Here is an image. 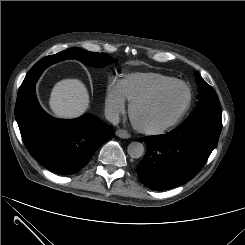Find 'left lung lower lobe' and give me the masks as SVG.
Instances as JSON below:
<instances>
[{"instance_id":"0a47b994","label":"left lung lower lobe","mask_w":245,"mask_h":245,"mask_svg":"<svg viewBox=\"0 0 245 245\" xmlns=\"http://www.w3.org/2000/svg\"><path fill=\"white\" fill-rule=\"evenodd\" d=\"M221 128L180 125L168 134L143 138L147 151L137 167L141 182L153 190L184 184L201 170L216 147Z\"/></svg>"}]
</instances>
